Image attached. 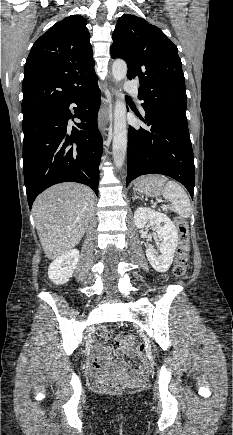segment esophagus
Listing matches in <instances>:
<instances>
[{
    "label": "esophagus",
    "mask_w": 233,
    "mask_h": 435,
    "mask_svg": "<svg viewBox=\"0 0 233 435\" xmlns=\"http://www.w3.org/2000/svg\"><path fill=\"white\" fill-rule=\"evenodd\" d=\"M110 89H111L112 98H113L114 94H115V89H114V86L112 84L110 86ZM112 110H113V99H112V103L110 105H107V106L101 108L99 111L98 127H99L102 134H104L106 129H107L108 120L112 116Z\"/></svg>",
    "instance_id": "1"
}]
</instances>
